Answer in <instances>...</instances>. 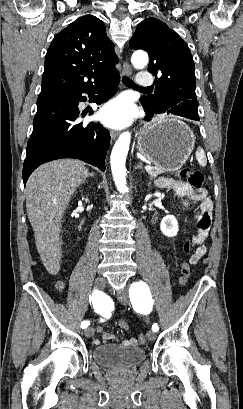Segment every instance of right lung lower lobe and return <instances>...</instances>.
<instances>
[{"label":"right lung lower lobe","instance_id":"1","mask_svg":"<svg viewBox=\"0 0 243 409\" xmlns=\"http://www.w3.org/2000/svg\"><path fill=\"white\" fill-rule=\"evenodd\" d=\"M119 79V74H115L92 87L38 98L34 128L23 165L24 184L39 165L60 158L80 159L105 170L110 134L100 124L78 123V104L87 100L82 93L93 97L97 104L108 100L115 94Z\"/></svg>","mask_w":243,"mask_h":409}]
</instances>
